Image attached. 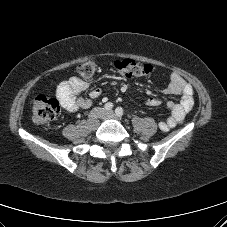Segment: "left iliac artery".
<instances>
[{"mask_svg": "<svg viewBox=\"0 0 227 227\" xmlns=\"http://www.w3.org/2000/svg\"><path fill=\"white\" fill-rule=\"evenodd\" d=\"M115 112H116V115L118 116V117H122L123 116V109L121 108V107H117L116 109H115Z\"/></svg>", "mask_w": 227, "mask_h": 227, "instance_id": "1", "label": "left iliac artery"}]
</instances>
